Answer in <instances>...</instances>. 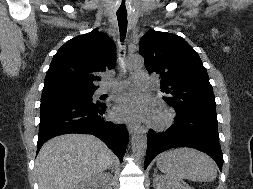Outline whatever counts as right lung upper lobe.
Instances as JSON below:
<instances>
[{"mask_svg":"<svg viewBox=\"0 0 253 189\" xmlns=\"http://www.w3.org/2000/svg\"><path fill=\"white\" fill-rule=\"evenodd\" d=\"M116 60L114 41L98 29L76 36L54 55L43 91L53 89L96 90L95 80L112 69Z\"/></svg>","mask_w":253,"mask_h":189,"instance_id":"cb5924a9","label":"right lung upper lobe"}]
</instances>
